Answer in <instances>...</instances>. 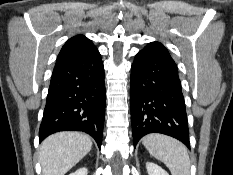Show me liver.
I'll return each mask as SVG.
<instances>
[{
	"instance_id": "liver-1",
	"label": "liver",
	"mask_w": 233,
	"mask_h": 175,
	"mask_svg": "<svg viewBox=\"0 0 233 175\" xmlns=\"http://www.w3.org/2000/svg\"><path fill=\"white\" fill-rule=\"evenodd\" d=\"M92 147L91 138L80 132H58L40 146L42 175H65Z\"/></svg>"
}]
</instances>
